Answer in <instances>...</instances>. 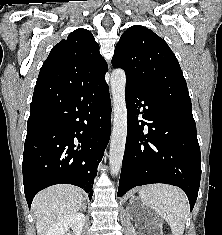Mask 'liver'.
Here are the masks:
<instances>
[{
	"label": "liver",
	"mask_w": 222,
	"mask_h": 235,
	"mask_svg": "<svg viewBox=\"0 0 222 235\" xmlns=\"http://www.w3.org/2000/svg\"><path fill=\"white\" fill-rule=\"evenodd\" d=\"M81 190L71 185H55L39 192L32 210L38 235H47L51 226L77 213L83 205Z\"/></svg>",
	"instance_id": "6515ba94"
}]
</instances>
